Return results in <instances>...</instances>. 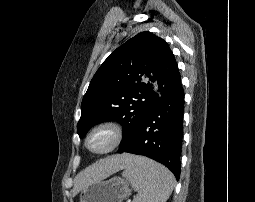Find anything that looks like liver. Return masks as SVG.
Segmentation results:
<instances>
[{
  "label": "liver",
  "instance_id": "obj_1",
  "mask_svg": "<svg viewBox=\"0 0 255 202\" xmlns=\"http://www.w3.org/2000/svg\"><path fill=\"white\" fill-rule=\"evenodd\" d=\"M134 158L135 156L124 153L113 155L94 163L77 175L73 188L74 193L76 194L86 186L124 169Z\"/></svg>",
  "mask_w": 255,
  "mask_h": 202
}]
</instances>
